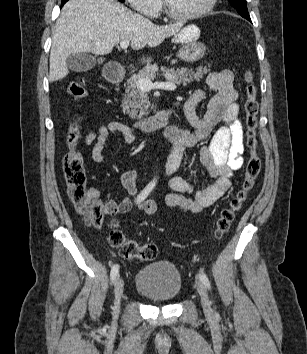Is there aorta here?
I'll use <instances>...</instances> for the list:
<instances>
[{"label": "aorta", "instance_id": "762f6f07", "mask_svg": "<svg viewBox=\"0 0 307 354\" xmlns=\"http://www.w3.org/2000/svg\"><path fill=\"white\" fill-rule=\"evenodd\" d=\"M152 182L155 184L157 182V178H154Z\"/></svg>", "mask_w": 307, "mask_h": 354}]
</instances>
